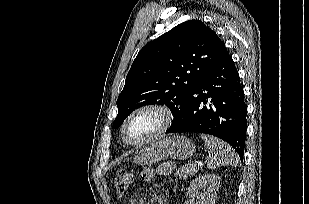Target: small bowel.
<instances>
[{
    "label": "small bowel",
    "mask_w": 309,
    "mask_h": 204,
    "mask_svg": "<svg viewBox=\"0 0 309 204\" xmlns=\"http://www.w3.org/2000/svg\"><path fill=\"white\" fill-rule=\"evenodd\" d=\"M172 170H173V165L171 163H165L161 166L160 173L161 174H168V173L172 172ZM153 177H154V170H152L150 168L144 169L142 174H141V180L143 182H149L153 179Z\"/></svg>",
    "instance_id": "small-bowel-1"
}]
</instances>
